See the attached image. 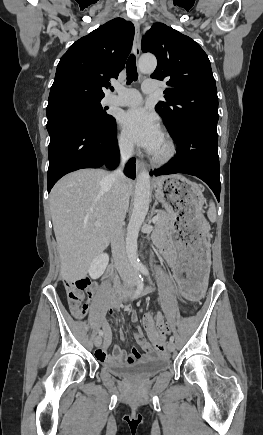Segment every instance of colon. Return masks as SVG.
<instances>
[{
  "mask_svg": "<svg viewBox=\"0 0 263 435\" xmlns=\"http://www.w3.org/2000/svg\"><path fill=\"white\" fill-rule=\"evenodd\" d=\"M89 284L87 279L65 281L64 283L70 310L77 318H83L86 314L87 306L85 298ZM171 325L172 324H167L165 327L167 335H172V330H170L172 329ZM161 341H165L164 338Z\"/></svg>",
  "mask_w": 263,
  "mask_h": 435,
  "instance_id": "colon-1",
  "label": "colon"
}]
</instances>
